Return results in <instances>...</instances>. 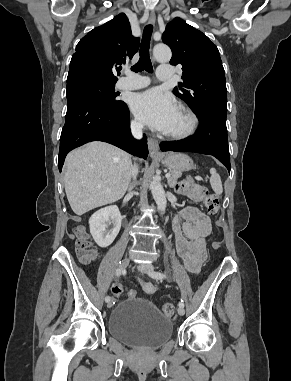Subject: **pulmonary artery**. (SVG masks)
I'll list each match as a JSON object with an SVG mask.
<instances>
[{"instance_id": "pulmonary-artery-1", "label": "pulmonary artery", "mask_w": 291, "mask_h": 381, "mask_svg": "<svg viewBox=\"0 0 291 381\" xmlns=\"http://www.w3.org/2000/svg\"><path fill=\"white\" fill-rule=\"evenodd\" d=\"M173 74V67L170 65H160L157 68V78L165 81L170 80ZM150 80L147 77L126 71L125 76L117 82L120 90H136L148 86Z\"/></svg>"}]
</instances>
